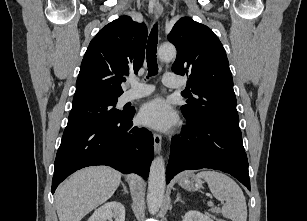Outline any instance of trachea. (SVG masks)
<instances>
[{
	"label": "trachea",
	"instance_id": "3493384b",
	"mask_svg": "<svg viewBox=\"0 0 307 221\" xmlns=\"http://www.w3.org/2000/svg\"><path fill=\"white\" fill-rule=\"evenodd\" d=\"M157 41H158V25L155 24L149 35L147 48H146L148 76L155 75L158 72V65L156 58Z\"/></svg>",
	"mask_w": 307,
	"mask_h": 221
}]
</instances>
